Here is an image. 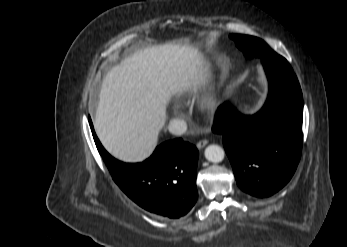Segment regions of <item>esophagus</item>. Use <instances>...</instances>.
I'll return each mask as SVG.
<instances>
[{
  "label": "esophagus",
  "instance_id": "34e87169",
  "mask_svg": "<svg viewBox=\"0 0 347 247\" xmlns=\"http://www.w3.org/2000/svg\"><path fill=\"white\" fill-rule=\"evenodd\" d=\"M207 144H208V140H206V139L200 140L199 142H197L196 147H197L198 149H202V148H204Z\"/></svg>",
  "mask_w": 347,
  "mask_h": 247
}]
</instances>
